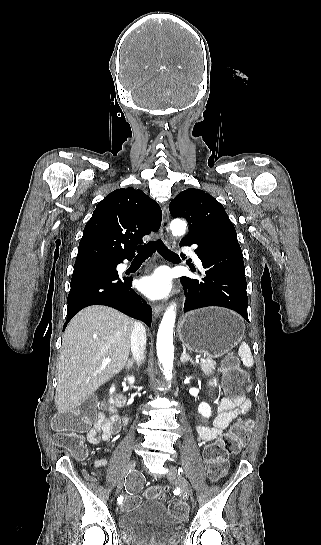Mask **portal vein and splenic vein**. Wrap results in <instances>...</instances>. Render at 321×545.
Returning <instances> with one entry per match:
<instances>
[{"mask_svg": "<svg viewBox=\"0 0 321 545\" xmlns=\"http://www.w3.org/2000/svg\"><path fill=\"white\" fill-rule=\"evenodd\" d=\"M196 359H199L201 355H195ZM105 363H110L111 359L107 357V359H104ZM200 361H206V358H200Z\"/></svg>", "mask_w": 321, "mask_h": 545, "instance_id": "portal-vein-and-splenic-vein-1", "label": "portal vein and splenic vein"}]
</instances>
